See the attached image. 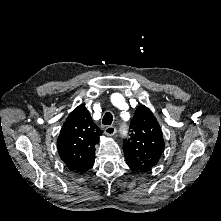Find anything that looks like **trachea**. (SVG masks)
Masks as SVG:
<instances>
[{"instance_id":"1","label":"trachea","mask_w":221,"mask_h":221,"mask_svg":"<svg viewBox=\"0 0 221 221\" xmlns=\"http://www.w3.org/2000/svg\"><path fill=\"white\" fill-rule=\"evenodd\" d=\"M113 121V116L110 112H106L103 119H102V123L104 125H111Z\"/></svg>"}]
</instances>
